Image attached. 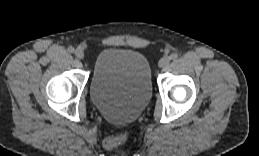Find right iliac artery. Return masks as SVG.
<instances>
[{"label":"right iliac artery","instance_id":"right-iliac-artery-1","mask_svg":"<svg viewBox=\"0 0 259 156\" xmlns=\"http://www.w3.org/2000/svg\"><path fill=\"white\" fill-rule=\"evenodd\" d=\"M74 51H75V50H74V48H73L72 46L68 47V52H69V53H74Z\"/></svg>","mask_w":259,"mask_h":156}]
</instances>
